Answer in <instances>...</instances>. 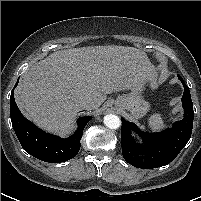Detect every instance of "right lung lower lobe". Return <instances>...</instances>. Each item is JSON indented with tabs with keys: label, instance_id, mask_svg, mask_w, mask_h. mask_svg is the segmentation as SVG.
Returning <instances> with one entry per match:
<instances>
[{
	"label": "right lung lower lobe",
	"instance_id": "98d812e1",
	"mask_svg": "<svg viewBox=\"0 0 201 201\" xmlns=\"http://www.w3.org/2000/svg\"><path fill=\"white\" fill-rule=\"evenodd\" d=\"M17 80L14 88L18 85ZM14 88L10 96V116L13 129L23 149L33 157L50 163H60L72 159L80 149V140L86 124L92 117L78 119V129L65 139L46 133L27 120L20 112L15 99Z\"/></svg>",
	"mask_w": 201,
	"mask_h": 201
}]
</instances>
